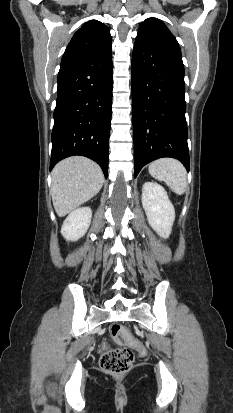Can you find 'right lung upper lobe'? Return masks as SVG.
Returning <instances> with one entry per match:
<instances>
[{
    "label": "right lung upper lobe",
    "mask_w": 233,
    "mask_h": 413,
    "mask_svg": "<svg viewBox=\"0 0 233 413\" xmlns=\"http://www.w3.org/2000/svg\"><path fill=\"white\" fill-rule=\"evenodd\" d=\"M111 46L110 30L97 20H90L74 34L62 61L93 55Z\"/></svg>",
    "instance_id": "1"
}]
</instances>
